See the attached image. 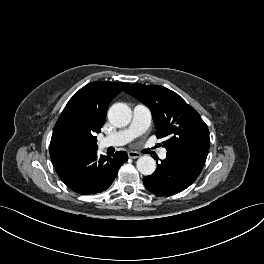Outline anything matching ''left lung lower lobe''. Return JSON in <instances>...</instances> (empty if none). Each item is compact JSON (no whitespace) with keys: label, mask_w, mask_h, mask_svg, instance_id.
<instances>
[{"label":"left lung lower lobe","mask_w":264,"mask_h":264,"mask_svg":"<svg viewBox=\"0 0 264 264\" xmlns=\"http://www.w3.org/2000/svg\"><path fill=\"white\" fill-rule=\"evenodd\" d=\"M204 164L205 160L187 152L170 151L155 172L143 178V183L154 194L174 195L197 179Z\"/></svg>","instance_id":"obj_1"}]
</instances>
